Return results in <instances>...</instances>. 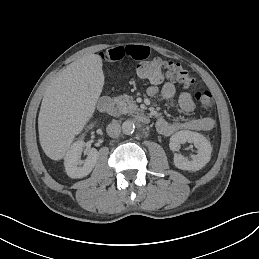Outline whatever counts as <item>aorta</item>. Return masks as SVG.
<instances>
[{"label": "aorta", "mask_w": 259, "mask_h": 259, "mask_svg": "<svg viewBox=\"0 0 259 259\" xmlns=\"http://www.w3.org/2000/svg\"><path fill=\"white\" fill-rule=\"evenodd\" d=\"M135 130V125L132 121H125L123 124H122V131L124 134H132Z\"/></svg>", "instance_id": "aorta-1"}]
</instances>
